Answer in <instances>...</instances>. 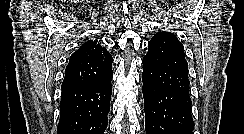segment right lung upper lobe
<instances>
[{
  "label": "right lung upper lobe",
  "mask_w": 244,
  "mask_h": 134,
  "mask_svg": "<svg viewBox=\"0 0 244 134\" xmlns=\"http://www.w3.org/2000/svg\"><path fill=\"white\" fill-rule=\"evenodd\" d=\"M112 56L97 40H89L75 51L65 69L62 88L92 84L112 75Z\"/></svg>",
  "instance_id": "right-lung-upper-lobe-1"
}]
</instances>
